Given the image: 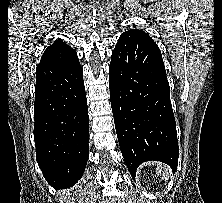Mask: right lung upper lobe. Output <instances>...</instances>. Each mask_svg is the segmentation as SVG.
Segmentation results:
<instances>
[{"instance_id": "obj_1", "label": "right lung upper lobe", "mask_w": 222, "mask_h": 203, "mask_svg": "<svg viewBox=\"0 0 222 203\" xmlns=\"http://www.w3.org/2000/svg\"><path fill=\"white\" fill-rule=\"evenodd\" d=\"M76 60H78L76 51L61 39H58L46 48L38 66L44 64L67 63Z\"/></svg>"}]
</instances>
